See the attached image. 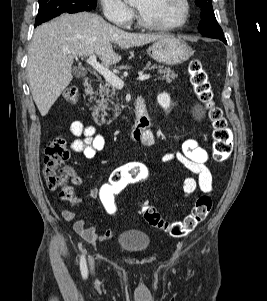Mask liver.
I'll list each match as a JSON object with an SVG mask.
<instances>
[{"label": "liver", "instance_id": "6515ba94", "mask_svg": "<svg viewBox=\"0 0 267 301\" xmlns=\"http://www.w3.org/2000/svg\"><path fill=\"white\" fill-rule=\"evenodd\" d=\"M163 37L128 33L88 12L63 14L42 24L33 35L27 63L30 90L40 114L48 113L72 81L71 68L76 55L96 54L104 65H113L121 60L113 50V43L128 49Z\"/></svg>", "mask_w": 267, "mask_h": 301}]
</instances>
